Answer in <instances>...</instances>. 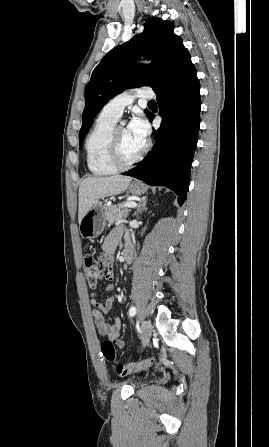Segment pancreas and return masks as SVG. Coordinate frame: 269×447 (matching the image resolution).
I'll use <instances>...</instances> for the list:
<instances>
[{
	"instance_id": "obj_1",
	"label": "pancreas",
	"mask_w": 269,
	"mask_h": 447,
	"mask_svg": "<svg viewBox=\"0 0 269 447\" xmlns=\"http://www.w3.org/2000/svg\"><path fill=\"white\" fill-rule=\"evenodd\" d=\"M105 216L107 222L109 224H116V222H119V220H122V218H127L128 208H123V210H120L119 206H115V204H112V206H105Z\"/></svg>"
}]
</instances>
